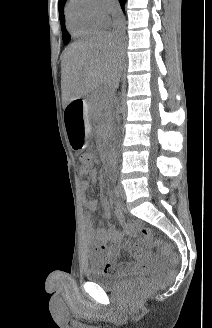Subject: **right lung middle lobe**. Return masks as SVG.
<instances>
[{"instance_id":"right-lung-middle-lobe-1","label":"right lung middle lobe","mask_w":212,"mask_h":328,"mask_svg":"<svg viewBox=\"0 0 212 328\" xmlns=\"http://www.w3.org/2000/svg\"><path fill=\"white\" fill-rule=\"evenodd\" d=\"M66 0H60L59 1V17H60V23H61V29H62V37H63V43L67 44L69 43L71 37L70 34L67 33L64 23V3Z\"/></svg>"}]
</instances>
